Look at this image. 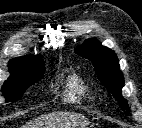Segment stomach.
<instances>
[{
  "label": "stomach",
  "mask_w": 142,
  "mask_h": 128,
  "mask_svg": "<svg viewBox=\"0 0 142 128\" xmlns=\"http://www.w3.org/2000/svg\"><path fill=\"white\" fill-rule=\"evenodd\" d=\"M76 128H90V126L88 122H84L79 124Z\"/></svg>",
  "instance_id": "stomach-1"
}]
</instances>
